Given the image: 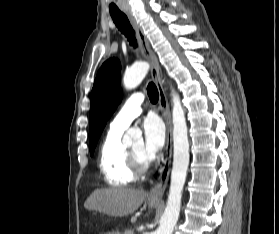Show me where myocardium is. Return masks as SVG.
Wrapping results in <instances>:
<instances>
[{
    "mask_svg": "<svg viewBox=\"0 0 279 234\" xmlns=\"http://www.w3.org/2000/svg\"><path fill=\"white\" fill-rule=\"evenodd\" d=\"M129 163L135 175H141L147 171L150 165V160L136 153L131 148H128Z\"/></svg>",
    "mask_w": 279,
    "mask_h": 234,
    "instance_id": "1",
    "label": "myocardium"
}]
</instances>
